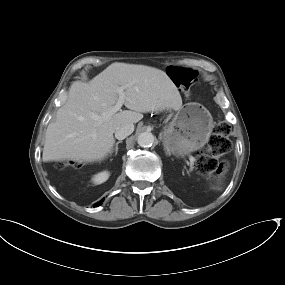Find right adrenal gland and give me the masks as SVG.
<instances>
[{"label": "right adrenal gland", "mask_w": 285, "mask_h": 285, "mask_svg": "<svg viewBox=\"0 0 285 285\" xmlns=\"http://www.w3.org/2000/svg\"><path fill=\"white\" fill-rule=\"evenodd\" d=\"M120 143H122L121 140L118 141V142H116L115 147L112 149V151H111L110 154H112L113 152H115L114 155H117V153H118V145H119Z\"/></svg>", "instance_id": "2a0ac1e0"}]
</instances>
